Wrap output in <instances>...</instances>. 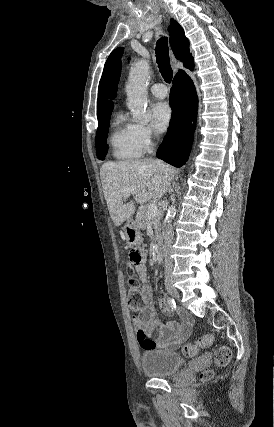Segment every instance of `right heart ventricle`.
I'll return each mask as SVG.
<instances>
[{
	"mask_svg": "<svg viewBox=\"0 0 274 427\" xmlns=\"http://www.w3.org/2000/svg\"><path fill=\"white\" fill-rule=\"evenodd\" d=\"M112 156L121 161H134L141 156V149L134 134V124L118 115L115 127L109 137Z\"/></svg>",
	"mask_w": 274,
	"mask_h": 427,
	"instance_id": "obj_1",
	"label": "right heart ventricle"
}]
</instances>
